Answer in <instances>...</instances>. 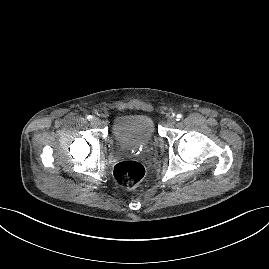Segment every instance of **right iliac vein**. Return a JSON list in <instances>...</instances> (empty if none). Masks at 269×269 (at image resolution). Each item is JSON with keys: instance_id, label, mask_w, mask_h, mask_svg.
Returning a JSON list of instances; mask_svg holds the SVG:
<instances>
[{"instance_id": "1", "label": "right iliac vein", "mask_w": 269, "mask_h": 269, "mask_svg": "<svg viewBox=\"0 0 269 269\" xmlns=\"http://www.w3.org/2000/svg\"><path fill=\"white\" fill-rule=\"evenodd\" d=\"M92 123H93L94 125H99V124L101 123V121H100V119H99L98 117H94V118L92 119Z\"/></svg>"}]
</instances>
